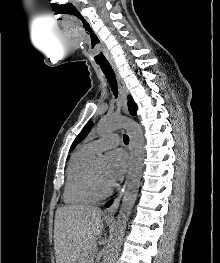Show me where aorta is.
<instances>
[{
    "label": "aorta",
    "mask_w": 220,
    "mask_h": 263,
    "mask_svg": "<svg viewBox=\"0 0 220 263\" xmlns=\"http://www.w3.org/2000/svg\"><path fill=\"white\" fill-rule=\"evenodd\" d=\"M119 128H124L129 133L132 146V163L129 171L127 187L123 196L111 243L109 245L108 263H112L115 259L116 253L119 249L121 236L126 228V223L134 206L140 185L144 158L143 131L140 125L133 120L119 116L104 117L100 120L97 130L99 133L105 134ZM96 161L98 163H103L105 162V157L100 155L97 157Z\"/></svg>",
    "instance_id": "1"
}]
</instances>
